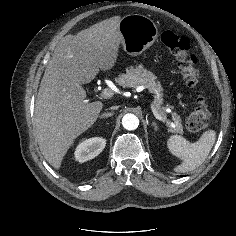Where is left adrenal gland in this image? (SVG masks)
<instances>
[{"label": "left adrenal gland", "instance_id": "a2214340", "mask_svg": "<svg viewBox=\"0 0 236 236\" xmlns=\"http://www.w3.org/2000/svg\"><path fill=\"white\" fill-rule=\"evenodd\" d=\"M153 124V126L155 127V130H157L158 129V127H157V124L156 123H152Z\"/></svg>", "mask_w": 236, "mask_h": 236}]
</instances>
